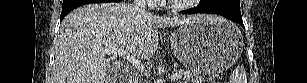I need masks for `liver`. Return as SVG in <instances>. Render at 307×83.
<instances>
[{
	"label": "liver",
	"instance_id": "obj_1",
	"mask_svg": "<svg viewBox=\"0 0 307 83\" xmlns=\"http://www.w3.org/2000/svg\"><path fill=\"white\" fill-rule=\"evenodd\" d=\"M204 18L144 14L132 4H87L71 11L63 20L55 42L52 83H108L111 65L107 49H119L135 59L155 53L158 28L174 27Z\"/></svg>",
	"mask_w": 307,
	"mask_h": 83
}]
</instances>
